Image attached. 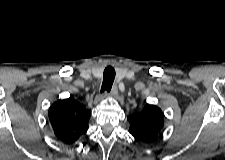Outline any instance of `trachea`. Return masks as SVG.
Here are the masks:
<instances>
[{
    "mask_svg": "<svg viewBox=\"0 0 225 160\" xmlns=\"http://www.w3.org/2000/svg\"><path fill=\"white\" fill-rule=\"evenodd\" d=\"M114 79H115V69L111 66L106 67L103 73V83L101 86V93L104 91L109 93L111 91Z\"/></svg>",
    "mask_w": 225,
    "mask_h": 160,
    "instance_id": "3493384b",
    "label": "trachea"
}]
</instances>
